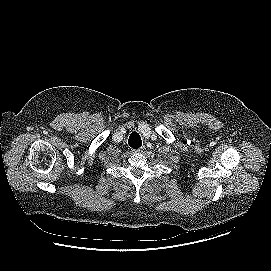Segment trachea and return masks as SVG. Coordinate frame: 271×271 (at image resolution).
I'll return each instance as SVG.
<instances>
[{
    "mask_svg": "<svg viewBox=\"0 0 271 271\" xmlns=\"http://www.w3.org/2000/svg\"><path fill=\"white\" fill-rule=\"evenodd\" d=\"M128 144L133 149L140 148L142 146V140L140 135L136 132L131 133L128 139Z\"/></svg>",
    "mask_w": 271,
    "mask_h": 271,
    "instance_id": "1",
    "label": "trachea"
}]
</instances>
